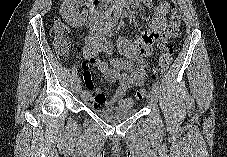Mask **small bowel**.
<instances>
[{"label":"small bowel","instance_id":"small-bowel-1","mask_svg":"<svg viewBox=\"0 0 227 157\" xmlns=\"http://www.w3.org/2000/svg\"><path fill=\"white\" fill-rule=\"evenodd\" d=\"M150 3L151 0H135V4ZM170 9L171 6L167 1H161L155 8L148 30L133 42L125 38L118 39L117 48L124 59L111 58L109 62L99 59L101 53L111 54L113 50L111 42L103 33L93 32L86 38L82 63L86 89L82 92V98L88 105L100 108L105 105L120 104L128 89L142 84L147 68L145 57L150 55L152 45L162 39ZM91 67H97L108 82H119V87L110 98H106L99 89L95 88L90 73Z\"/></svg>","mask_w":227,"mask_h":157}]
</instances>
